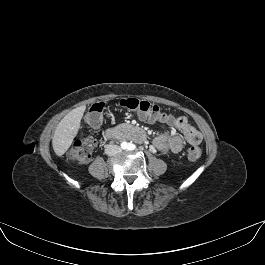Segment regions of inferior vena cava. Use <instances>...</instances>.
<instances>
[{"instance_id":"602c4592","label":"inferior vena cava","mask_w":265,"mask_h":265,"mask_svg":"<svg viewBox=\"0 0 265 265\" xmlns=\"http://www.w3.org/2000/svg\"><path fill=\"white\" fill-rule=\"evenodd\" d=\"M122 151V149L114 144H109L105 146V154L108 156H114L119 154Z\"/></svg>"}]
</instances>
